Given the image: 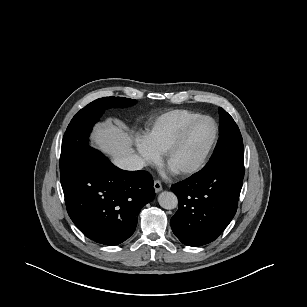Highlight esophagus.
Masks as SVG:
<instances>
[{
	"label": "esophagus",
	"instance_id": "esophagus-1",
	"mask_svg": "<svg viewBox=\"0 0 307 307\" xmlns=\"http://www.w3.org/2000/svg\"><path fill=\"white\" fill-rule=\"evenodd\" d=\"M154 189H155L156 193H158L162 190V185H161V182L159 180L154 181Z\"/></svg>",
	"mask_w": 307,
	"mask_h": 307
}]
</instances>
